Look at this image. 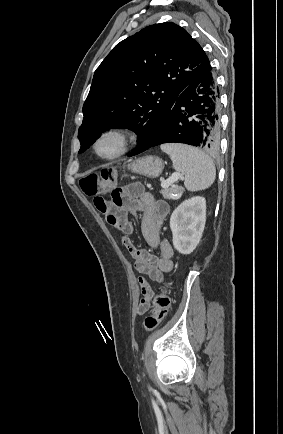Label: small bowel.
Wrapping results in <instances>:
<instances>
[{
  "mask_svg": "<svg viewBox=\"0 0 283 434\" xmlns=\"http://www.w3.org/2000/svg\"><path fill=\"white\" fill-rule=\"evenodd\" d=\"M94 205L106 215L107 222L121 232V242L134 259L135 269L143 274L138 278L142 298L137 313L143 315L150 307V300L154 296V289L149 280L161 282L165 273L173 268V248L168 239L162 236V225L168 215V205L164 201H157L146 193L140 184H130L112 191V199L106 200L100 195L94 197ZM141 213V233L153 250L138 249L130 235L133 225L128 214Z\"/></svg>",
  "mask_w": 283,
  "mask_h": 434,
  "instance_id": "obj_1",
  "label": "small bowel"
}]
</instances>
